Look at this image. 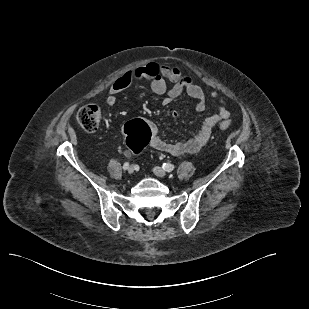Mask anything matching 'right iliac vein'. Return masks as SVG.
<instances>
[{
    "mask_svg": "<svg viewBox=\"0 0 309 309\" xmlns=\"http://www.w3.org/2000/svg\"><path fill=\"white\" fill-rule=\"evenodd\" d=\"M134 171H135L134 166H130V167L128 168V173H129V174L134 173Z\"/></svg>",
    "mask_w": 309,
    "mask_h": 309,
    "instance_id": "obj_1",
    "label": "right iliac vein"
}]
</instances>
